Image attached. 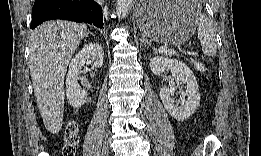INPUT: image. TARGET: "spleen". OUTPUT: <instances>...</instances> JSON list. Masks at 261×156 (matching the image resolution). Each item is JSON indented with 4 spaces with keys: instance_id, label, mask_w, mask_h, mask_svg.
<instances>
[{
    "instance_id": "1",
    "label": "spleen",
    "mask_w": 261,
    "mask_h": 156,
    "mask_svg": "<svg viewBox=\"0 0 261 156\" xmlns=\"http://www.w3.org/2000/svg\"><path fill=\"white\" fill-rule=\"evenodd\" d=\"M198 20V38L201 41L202 51L206 56H213L217 51L214 29L207 16L200 14Z\"/></svg>"
}]
</instances>
